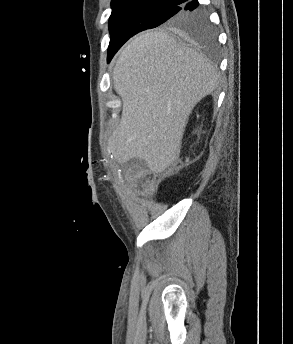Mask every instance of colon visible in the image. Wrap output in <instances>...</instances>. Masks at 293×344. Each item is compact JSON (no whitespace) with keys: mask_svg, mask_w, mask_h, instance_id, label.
Wrapping results in <instances>:
<instances>
[{"mask_svg":"<svg viewBox=\"0 0 293 344\" xmlns=\"http://www.w3.org/2000/svg\"><path fill=\"white\" fill-rule=\"evenodd\" d=\"M151 190H152V188H151V186H150L149 183H146V184L143 186V192H144L145 194H149V193L151 192Z\"/></svg>","mask_w":293,"mask_h":344,"instance_id":"colon-1","label":"colon"}]
</instances>
